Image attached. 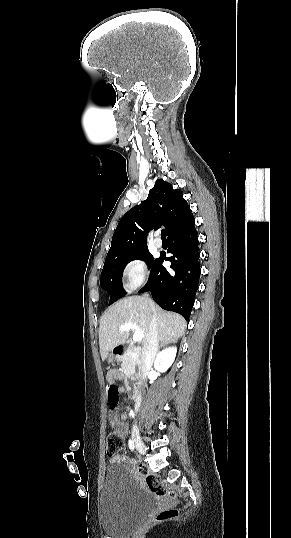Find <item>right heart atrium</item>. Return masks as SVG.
Instances as JSON below:
<instances>
[{
    "mask_svg": "<svg viewBox=\"0 0 291 538\" xmlns=\"http://www.w3.org/2000/svg\"><path fill=\"white\" fill-rule=\"evenodd\" d=\"M123 275L126 288L135 290L143 285L147 279V267L143 259L135 257L128 260L123 266Z\"/></svg>",
    "mask_w": 291,
    "mask_h": 538,
    "instance_id": "obj_1",
    "label": "right heart atrium"
}]
</instances>
